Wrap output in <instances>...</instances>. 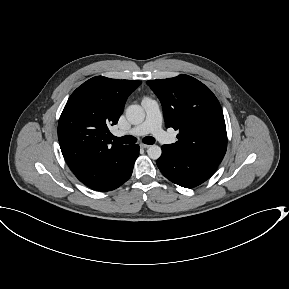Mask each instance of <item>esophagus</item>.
Segmentation results:
<instances>
[{
	"mask_svg": "<svg viewBox=\"0 0 289 289\" xmlns=\"http://www.w3.org/2000/svg\"><path fill=\"white\" fill-rule=\"evenodd\" d=\"M140 147L146 149V148H149L150 145H148V144H140Z\"/></svg>",
	"mask_w": 289,
	"mask_h": 289,
	"instance_id": "obj_1",
	"label": "esophagus"
}]
</instances>
